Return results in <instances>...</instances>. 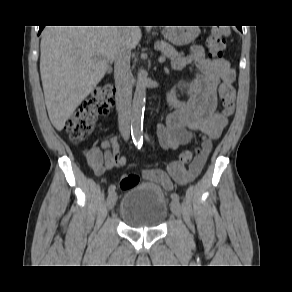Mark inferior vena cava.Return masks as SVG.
<instances>
[{"mask_svg":"<svg viewBox=\"0 0 292 292\" xmlns=\"http://www.w3.org/2000/svg\"><path fill=\"white\" fill-rule=\"evenodd\" d=\"M131 51L122 47L114 60V79L119 105V130L124 139L129 138L131 122L132 73L130 70Z\"/></svg>","mask_w":292,"mask_h":292,"instance_id":"obj_1","label":"inferior vena cava"}]
</instances>
